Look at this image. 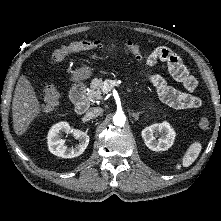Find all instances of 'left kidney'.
<instances>
[{
    "mask_svg": "<svg viewBox=\"0 0 221 221\" xmlns=\"http://www.w3.org/2000/svg\"><path fill=\"white\" fill-rule=\"evenodd\" d=\"M161 137L156 139L157 135ZM146 146L152 151H166L174 142L175 132L168 122L156 123L142 131Z\"/></svg>",
    "mask_w": 221,
    "mask_h": 221,
    "instance_id": "5707ae66",
    "label": "left kidney"
}]
</instances>
